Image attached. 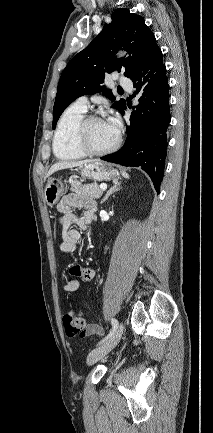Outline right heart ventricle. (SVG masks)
<instances>
[{"label":"right heart ventricle","mask_w":213,"mask_h":433,"mask_svg":"<svg viewBox=\"0 0 213 433\" xmlns=\"http://www.w3.org/2000/svg\"><path fill=\"white\" fill-rule=\"evenodd\" d=\"M86 110L76 104L62 114L53 139V152L58 159L75 160L85 156L75 143V130Z\"/></svg>","instance_id":"obj_1"}]
</instances>
